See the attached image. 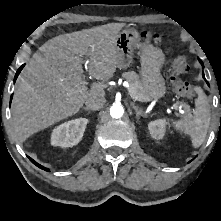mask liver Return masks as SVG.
<instances>
[{
  "label": "liver",
  "mask_w": 221,
  "mask_h": 221,
  "mask_svg": "<svg viewBox=\"0 0 221 221\" xmlns=\"http://www.w3.org/2000/svg\"><path fill=\"white\" fill-rule=\"evenodd\" d=\"M124 23H110L59 35L33 54L18 81L13 99V126L23 142L34 133L76 114L92 96H104L105 85H84L83 56L88 72L109 80L117 68L115 41Z\"/></svg>",
  "instance_id": "liver-1"
}]
</instances>
